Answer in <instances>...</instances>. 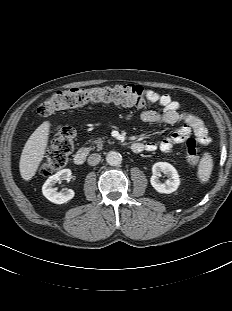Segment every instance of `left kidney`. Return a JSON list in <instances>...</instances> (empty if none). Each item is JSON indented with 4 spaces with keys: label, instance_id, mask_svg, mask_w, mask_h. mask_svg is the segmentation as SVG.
Segmentation results:
<instances>
[{
    "label": "left kidney",
    "instance_id": "1",
    "mask_svg": "<svg viewBox=\"0 0 232 311\" xmlns=\"http://www.w3.org/2000/svg\"><path fill=\"white\" fill-rule=\"evenodd\" d=\"M164 173L169 178L165 183H161L158 176ZM152 177L150 179L152 187L159 193L170 194L176 191L180 185V178L177 170L167 162H157L152 167Z\"/></svg>",
    "mask_w": 232,
    "mask_h": 311
}]
</instances>
